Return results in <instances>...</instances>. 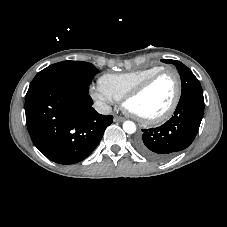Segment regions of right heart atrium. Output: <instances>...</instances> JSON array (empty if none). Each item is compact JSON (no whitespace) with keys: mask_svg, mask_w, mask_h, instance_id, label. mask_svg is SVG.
<instances>
[{"mask_svg":"<svg viewBox=\"0 0 227 227\" xmlns=\"http://www.w3.org/2000/svg\"><path fill=\"white\" fill-rule=\"evenodd\" d=\"M90 95L93 100L102 108H106L114 102V98L100 85L92 87L90 89Z\"/></svg>","mask_w":227,"mask_h":227,"instance_id":"right-heart-atrium-1","label":"right heart atrium"}]
</instances>
